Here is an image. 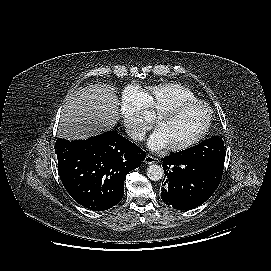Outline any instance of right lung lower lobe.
Here are the masks:
<instances>
[{
  "label": "right lung lower lobe",
  "instance_id": "1",
  "mask_svg": "<svg viewBox=\"0 0 271 271\" xmlns=\"http://www.w3.org/2000/svg\"><path fill=\"white\" fill-rule=\"evenodd\" d=\"M58 172L69 195L80 205L107 210L121 201L126 175L139 167L146 153L116 132L87 140L55 143Z\"/></svg>",
  "mask_w": 271,
  "mask_h": 271
}]
</instances>
